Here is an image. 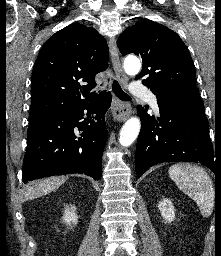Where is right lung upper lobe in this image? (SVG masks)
<instances>
[{"mask_svg": "<svg viewBox=\"0 0 221 256\" xmlns=\"http://www.w3.org/2000/svg\"><path fill=\"white\" fill-rule=\"evenodd\" d=\"M108 54L106 40L94 28L75 23L56 32L33 68L30 116L42 120L96 98L90 91L96 74L108 67Z\"/></svg>", "mask_w": 221, "mask_h": 256, "instance_id": "obj_1", "label": "right lung upper lobe"}]
</instances>
